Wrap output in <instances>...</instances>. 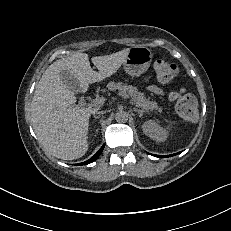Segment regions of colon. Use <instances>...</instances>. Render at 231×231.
<instances>
[{"label":"colon","instance_id":"obj_1","mask_svg":"<svg viewBox=\"0 0 231 231\" xmlns=\"http://www.w3.org/2000/svg\"><path fill=\"white\" fill-rule=\"evenodd\" d=\"M156 78L162 83H169L178 74V66L166 60L158 59L154 62ZM171 99L175 101L177 113L188 121H193L198 116L197 100L194 95L180 88L171 93Z\"/></svg>","mask_w":231,"mask_h":231}]
</instances>
